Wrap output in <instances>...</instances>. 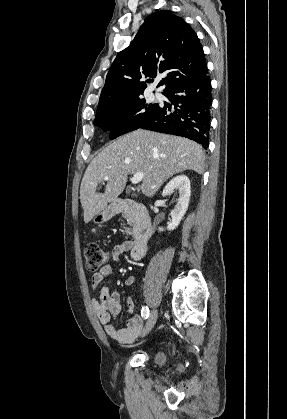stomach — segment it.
I'll list each match as a JSON object with an SVG mask.
<instances>
[{"mask_svg":"<svg viewBox=\"0 0 287 419\" xmlns=\"http://www.w3.org/2000/svg\"><path fill=\"white\" fill-rule=\"evenodd\" d=\"M115 214L114 207L112 205L107 206L104 210L96 214L92 221L94 223H102L109 220Z\"/></svg>","mask_w":287,"mask_h":419,"instance_id":"stomach-1","label":"stomach"}]
</instances>
